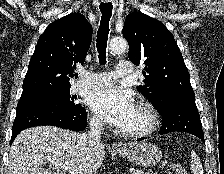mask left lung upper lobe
Listing matches in <instances>:
<instances>
[{
    "label": "left lung upper lobe",
    "instance_id": "1",
    "mask_svg": "<svg viewBox=\"0 0 224 174\" xmlns=\"http://www.w3.org/2000/svg\"><path fill=\"white\" fill-rule=\"evenodd\" d=\"M123 36L129 44L130 60L145 65V85L137 88L156 108L164 95H195L177 43L160 21L141 12L130 13Z\"/></svg>",
    "mask_w": 224,
    "mask_h": 174
}]
</instances>
